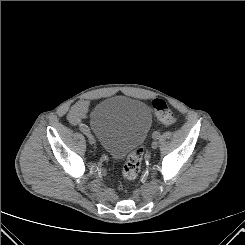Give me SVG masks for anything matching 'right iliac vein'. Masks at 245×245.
<instances>
[{"instance_id": "63e3f726", "label": "right iliac vein", "mask_w": 245, "mask_h": 245, "mask_svg": "<svg viewBox=\"0 0 245 245\" xmlns=\"http://www.w3.org/2000/svg\"><path fill=\"white\" fill-rule=\"evenodd\" d=\"M86 137H87L89 144L93 145L95 143V139L92 136V134H90V132L86 134Z\"/></svg>"}]
</instances>
